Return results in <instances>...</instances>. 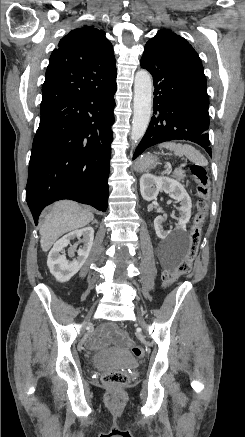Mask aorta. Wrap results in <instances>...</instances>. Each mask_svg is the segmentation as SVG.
I'll return each mask as SVG.
<instances>
[{
  "mask_svg": "<svg viewBox=\"0 0 245 437\" xmlns=\"http://www.w3.org/2000/svg\"><path fill=\"white\" fill-rule=\"evenodd\" d=\"M133 103L131 140L136 143L144 136L151 117L152 78L146 70H140L135 74Z\"/></svg>",
  "mask_w": 245,
  "mask_h": 437,
  "instance_id": "1",
  "label": "aorta"
}]
</instances>
